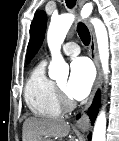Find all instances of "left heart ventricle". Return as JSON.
Wrapping results in <instances>:
<instances>
[{
    "label": "left heart ventricle",
    "mask_w": 119,
    "mask_h": 141,
    "mask_svg": "<svg viewBox=\"0 0 119 141\" xmlns=\"http://www.w3.org/2000/svg\"><path fill=\"white\" fill-rule=\"evenodd\" d=\"M58 85L65 91L66 89V80L58 82Z\"/></svg>",
    "instance_id": "1"
}]
</instances>
